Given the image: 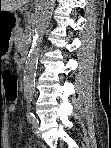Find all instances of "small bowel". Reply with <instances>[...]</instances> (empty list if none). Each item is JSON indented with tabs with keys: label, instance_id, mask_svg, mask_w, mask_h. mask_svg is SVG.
I'll return each mask as SVG.
<instances>
[{
	"label": "small bowel",
	"instance_id": "1",
	"mask_svg": "<svg viewBox=\"0 0 111 148\" xmlns=\"http://www.w3.org/2000/svg\"><path fill=\"white\" fill-rule=\"evenodd\" d=\"M8 110L10 113H13L15 111V106L14 105L9 106ZM5 147H8V146H5Z\"/></svg>",
	"mask_w": 111,
	"mask_h": 148
}]
</instances>
